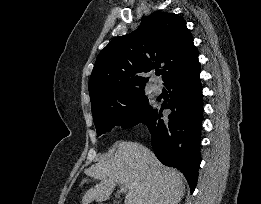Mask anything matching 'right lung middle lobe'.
<instances>
[{
	"label": "right lung middle lobe",
	"instance_id": "obj_1",
	"mask_svg": "<svg viewBox=\"0 0 261 204\" xmlns=\"http://www.w3.org/2000/svg\"><path fill=\"white\" fill-rule=\"evenodd\" d=\"M152 110L144 90L128 92L109 103L92 106L97 135L110 131L114 126L133 127Z\"/></svg>",
	"mask_w": 261,
	"mask_h": 204
}]
</instances>
